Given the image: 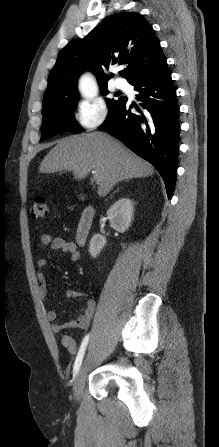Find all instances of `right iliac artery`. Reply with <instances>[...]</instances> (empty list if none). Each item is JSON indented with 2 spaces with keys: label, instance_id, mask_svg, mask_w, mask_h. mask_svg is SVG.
I'll list each match as a JSON object with an SVG mask.
<instances>
[{
  "label": "right iliac artery",
  "instance_id": "right-iliac-artery-1",
  "mask_svg": "<svg viewBox=\"0 0 219 447\" xmlns=\"http://www.w3.org/2000/svg\"><path fill=\"white\" fill-rule=\"evenodd\" d=\"M88 340H89V335H86L84 340L82 341V344L80 346V349L78 351L75 363H74V367H73V371H74V376L78 373L84 354H85V350H86V346L88 344Z\"/></svg>",
  "mask_w": 219,
  "mask_h": 447
}]
</instances>
